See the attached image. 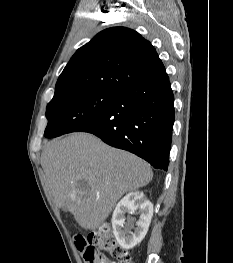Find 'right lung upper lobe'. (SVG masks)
<instances>
[{
  "mask_svg": "<svg viewBox=\"0 0 233 263\" xmlns=\"http://www.w3.org/2000/svg\"><path fill=\"white\" fill-rule=\"evenodd\" d=\"M164 72L149 41L132 29L109 28L76 51L57 80L54 96L89 89L118 92Z\"/></svg>",
  "mask_w": 233,
  "mask_h": 263,
  "instance_id": "right-lung-upper-lobe-1",
  "label": "right lung upper lobe"
}]
</instances>
